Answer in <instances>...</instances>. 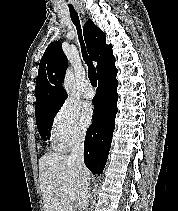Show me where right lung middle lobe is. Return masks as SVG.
I'll return each mask as SVG.
<instances>
[{"instance_id":"dd1d6c3e","label":"right lung middle lobe","mask_w":178,"mask_h":211,"mask_svg":"<svg viewBox=\"0 0 178 211\" xmlns=\"http://www.w3.org/2000/svg\"><path fill=\"white\" fill-rule=\"evenodd\" d=\"M63 103L49 106L36 114V124L41 137L50 139L49 130L52 127L55 113L60 109Z\"/></svg>"}]
</instances>
